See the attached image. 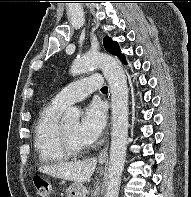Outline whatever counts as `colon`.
Listing matches in <instances>:
<instances>
[{
	"label": "colon",
	"mask_w": 191,
	"mask_h": 197,
	"mask_svg": "<svg viewBox=\"0 0 191 197\" xmlns=\"http://www.w3.org/2000/svg\"><path fill=\"white\" fill-rule=\"evenodd\" d=\"M33 183L36 188L37 195L39 197H50L51 195V186L40 176L33 177Z\"/></svg>",
	"instance_id": "1"
}]
</instances>
